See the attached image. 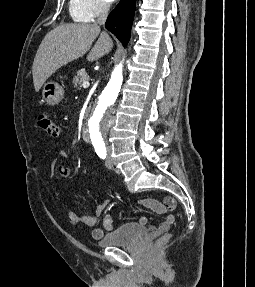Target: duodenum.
<instances>
[{
    "instance_id": "410a0bca",
    "label": "duodenum",
    "mask_w": 255,
    "mask_h": 287,
    "mask_svg": "<svg viewBox=\"0 0 255 287\" xmlns=\"http://www.w3.org/2000/svg\"><path fill=\"white\" fill-rule=\"evenodd\" d=\"M81 137L85 142L90 141L89 131L87 127H82L81 129Z\"/></svg>"
}]
</instances>
